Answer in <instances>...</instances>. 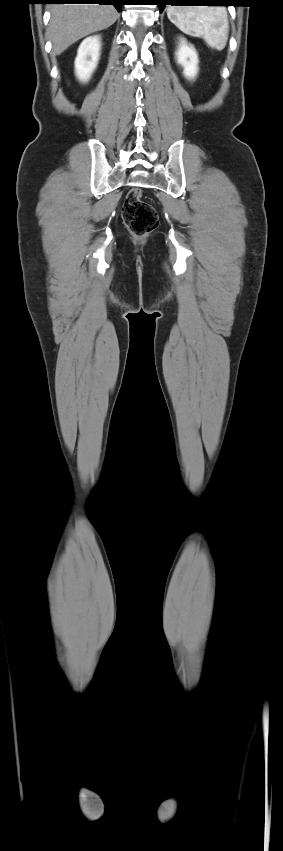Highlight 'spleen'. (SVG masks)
Returning <instances> with one entry per match:
<instances>
[{"instance_id":"1","label":"spleen","mask_w":283,"mask_h":851,"mask_svg":"<svg viewBox=\"0 0 283 851\" xmlns=\"http://www.w3.org/2000/svg\"><path fill=\"white\" fill-rule=\"evenodd\" d=\"M168 19L183 33L204 39L218 51L226 46L229 21L225 7H167Z\"/></svg>"}]
</instances>
